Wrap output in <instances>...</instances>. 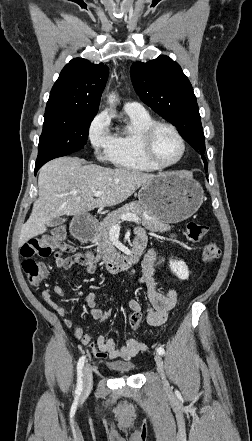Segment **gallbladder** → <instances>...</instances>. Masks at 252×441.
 Returning a JSON list of instances; mask_svg holds the SVG:
<instances>
[{"mask_svg": "<svg viewBox=\"0 0 252 441\" xmlns=\"http://www.w3.org/2000/svg\"><path fill=\"white\" fill-rule=\"evenodd\" d=\"M66 221L65 218H62L60 216L53 218L49 223V227H54L63 224Z\"/></svg>", "mask_w": 252, "mask_h": 441, "instance_id": "obj_1", "label": "gallbladder"}]
</instances>
